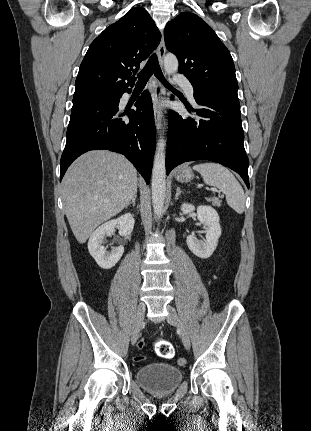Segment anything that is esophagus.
<instances>
[{
  "label": "esophagus",
  "mask_w": 311,
  "mask_h": 431,
  "mask_svg": "<svg viewBox=\"0 0 311 431\" xmlns=\"http://www.w3.org/2000/svg\"><path fill=\"white\" fill-rule=\"evenodd\" d=\"M165 52H166L165 42H164V38L162 37L157 50L158 60L161 66L163 65ZM163 94H164V89L161 83L158 82V80H155L154 78L153 108H154L155 126L158 132L160 131L162 126V112H161L160 105H161Z\"/></svg>",
  "instance_id": "34e87169"
}]
</instances>
